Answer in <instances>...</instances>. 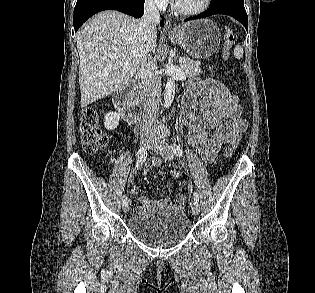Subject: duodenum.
Masks as SVG:
<instances>
[{
	"mask_svg": "<svg viewBox=\"0 0 315 293\" xmlns=\"http://www.w3.org/2000/svg\"><path fill=\"white\" fill-rule=\"evenodd\" d=\"M131 94V87L125 86L114 94L113 103L121 117L132 124L136 122L137 113L135 107L130 103Z\"/></svg>",
	"mask_w": 315,
	"mask_h": 293,
	"instance_id": "obj_1",
	"label": "duodenum"
}]
</instances>
